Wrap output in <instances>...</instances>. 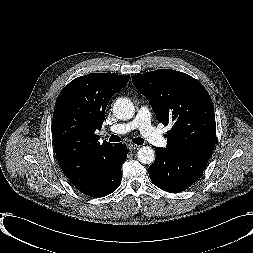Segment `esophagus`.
Masks as SVG:
<instances>
[{
	"mask_svg": "<svg viewBox=\"0 0 253 253\" xmlns=\"http://www.w3.org/2000/svg\"><path fill=\"white\" fill-rule=\"evenodd\" d=\"M138 148H139L138 145H135V144H128V149H129L130 151H134V150H136V149H138Z\"/></svg>",
	"mask_w": 253,
	"mask_h": 253,
	"instance_id": "obj_1",
	"label": "esophagus"
}]
</instances>
